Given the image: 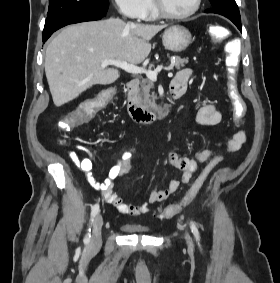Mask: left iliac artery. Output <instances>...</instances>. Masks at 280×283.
<instances>
[{"mask_svg":"<svg viewBox=\"0 0 280 283\" xmlns=\"http://www.w3.org/2000/svg\"><path fill=\"white\" fill-rule=\"evenodd\" d=\"M191 230H192L194 236L196 237V239L199 240V238H200L199 231H198L196 225L193 222H191Z\"/></svg>","mask_w":280,"mask_h":283,"instance_id":"obj_1","label":"left iliac artery"}]
</instances>
